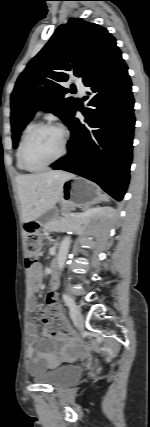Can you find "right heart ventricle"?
I'll return each mask as SVG.
<instances>
[{
    "instance_id": "e07e8e85",
    "label": "right heart ventricle",
    "mask_w": 150,
    "mask_h": 427,
    "mask_svg": "<svg viewBox=\"0 0 150 427\" xmlns=\"http://www.w3.org/2000/svg\"><path fill=\"white\" fill-rule=\"evenodd\" d=\"M35 125H36V123H35V119H32L31 121H29V122L26 124V126L24 127V129H23V131H22V133H21V135H20V138H19L18 147H17V150H16V160H17L18 168H19V169H21V170H25V169L23 168V166H22V164H21V160H20V150H21V146H22V143H23V140H24L25 136H26V135H27V133L31 130V128H32L33 126H35Z\"/></svg>"
}]
</instances>
